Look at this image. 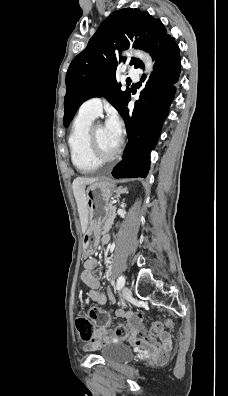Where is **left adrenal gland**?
<instances>
[{
  "label": "left adrenal gland",
  "mask_w": 228,
  "mask_h": 396,
  "mask_svg": "<svg viewBox=\"0 0 228 396\" xmlns=\"http://www.w3.org/2000/svg\"><path fill=\"white\" fill-rule=\"evenodd\" d=\"M125 192H127V189H126V188L119 187V188L116 190V199L119 201L120 195L123 194V193H125Z\"/></svg>",
  "instance_id": "a2214340"
}]
</instances>
